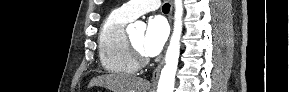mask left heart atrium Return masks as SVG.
<instances>
[{
	"mask_svg": "<svg viewBox=\"0 0 289 92\" xmlns=\"http://www.w3.org/2000/svg\"><path fill=\"white\" fill-rule=\"evenodd\" d=\"M168 37V26L164 19L155 16L149 19L143 40V53L153 57L158 55Z\"/></svg>",
	"mask_w": 289,
	"mask_h": 92,
	"instance_id": "39dd6f15",
	"label": "left heart atrium"
}]
</instances>
